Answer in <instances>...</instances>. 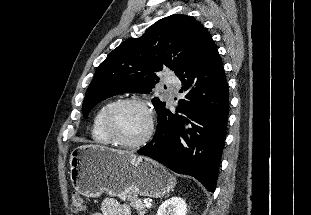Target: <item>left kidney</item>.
I'll use <instances>...</instances> for the list:
<instances>
[{"mask_svg":"<svg viewBox=\"0 0 311 215\" xmlns=\"http://www.w3.org/2000/svg\"><path fill=\"white\" fill-rule=\"evenodd\" d=\"M186 212L185 200L180 197H172L160 205L157 215H186Z\"/></svg>","mask_w":311,"mask_h":215,"instance_id":"obj_1","label":"left kidney"}]
</instances>
